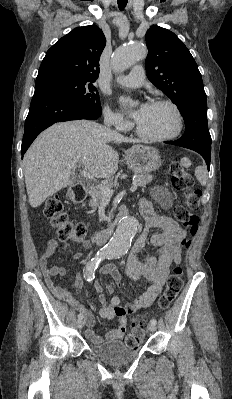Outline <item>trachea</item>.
<instances>
[{
	"label": "trachea",
	"instance_id": "3493384b",
	"mask_svg": "<svg viewBox=\"0 0 232 399\" xmlns=\"http://www.w3.org/2000/svg\"><path fill=\"white\" fill-rule=\"evenodd\" d=\"M128 0H117L118 7L120 10H123L127 5Z\"/></svg>",
	"mask_w": 232,
	"mask_h": 399
}]
</instances>
